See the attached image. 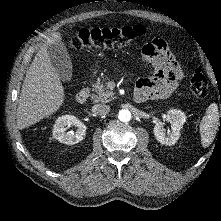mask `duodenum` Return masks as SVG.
Masks as SVG:
<instances>
[{"instance_id":"duodenum-1","label":"duodenum","mask_w":221,"mask_h":221,"mask_svg":"<svg viewBox=\"0 0 221 221\" xmlns=\"http://www.w3.org/2000/svg\"><path fill=\"white\" fill-rule=\"evenodd\" d=\"M88 96H89L88 90L86 88H83L76 94V101L80 104H84L87 101ZM134 100L137 103H142V102L146 101L147 98L143 94L135 92L134 93Z\"/></svg>"}]
</instances>
